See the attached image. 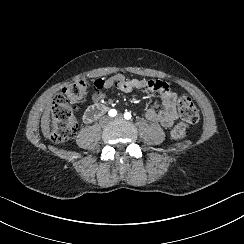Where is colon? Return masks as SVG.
Instances as JSON below:
<instances>
[{"mask_svg":"<svg viewBox=\"0 0 244 244\" xmlns=\"http://www.w3.org/2000/svg\"><path fill=\"white\" fill-rule=\"evenodd\" d=\"M87 86V81L75 80L55 97L51 113V140L54 143H63L74 136L75 104L86 94ZM176 102L181 119L172 129L171 135L175 141H181L187 137L189 127L199 121L200 113L194 102L185 95L178 96Z\"/></svg>","mask_w":244,"mask_h":244,"instance_id":"1","label":"colon"}]
</instances>
